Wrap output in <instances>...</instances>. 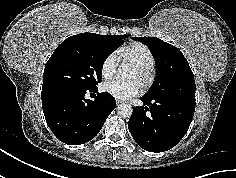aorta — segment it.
<instances>
[{"instance_id":"obj_1","label":"aorta","mask_w":236,"mask_h":178,"mask_svg":"<svg viewBox=\"0 0 236 178\" xmlns=\"http://www.w3.org/2000/svg\"><path fill=\"white\" fill-rule=\"evenodd\" d=\"M119 75L122 76L123 72H119ZM117 113L122 118H129L133 113L132 106L127 103H122L117 107Z\"/></svg>"}]
</instances>
